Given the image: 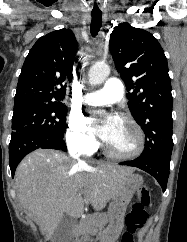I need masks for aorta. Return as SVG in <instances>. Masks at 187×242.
Listing matches in <instances>:
<instances>
[{
    "mask_svg": "<svg viewBox=\"0 0 187 242\" xmlns=\"http://www.w3.org/2000/svg\"><path fill=\"white\" fill-rule=\"evenodd\" d=\"M110 74V67L106 63L94 64L88 72V81L90 85L96 86L105 81Z\"/></svg>",
    "mask_w": 187,
    "mask_h": 242,
    "instance_id": "762f6f07",
    "label": "aorta"
}]
</instances>
